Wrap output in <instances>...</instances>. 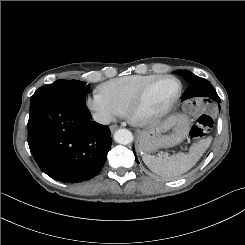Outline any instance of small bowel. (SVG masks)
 <instances>
[{"label":"small bowel","mask_w":245,"mask_h":245,"mask_svg":"<svg viewBox=\"0 0 245 245\" xmlns=\"http://www.w3.org/2000/svg\"><path fill=\"white\" fill-rule=\"evenodd\" d=\"M214 107V104L209 99H198L193 97L187 103L186 109L189 114L192 115H204L210 112Z\"/></svg>","instance_id":"small-bowel-1"}]
</instances>
